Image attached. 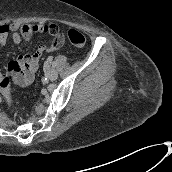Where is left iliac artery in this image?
Here are the masks:
<instances>
[{"label":"left iliac artery","mask_w":172,"mask_h":172,"mask_svg":"<svg viewBox=\"0 0 172 172\" xmlns=\"http://www.w3.org/2000/svg\"><path fill=\"white\" fill-rule=\"evenodd\" d=\"M52 60H53V57H52V56H49V57H48V61H50V63H51Z\"/></svg>","instance_id":"1"}]
</instances>
